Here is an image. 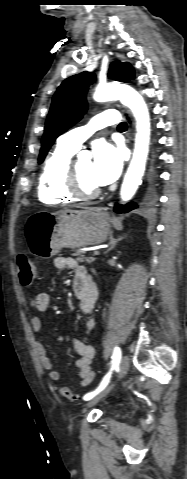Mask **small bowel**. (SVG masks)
I'll return each instance as SVG.
<instances>
[{
  "mask_svg": "<svg viewBox=\"0 0 187 479\" xmlns=\"http://www.w3.org/2000/svg\"><path fill=\"white\" fill-rule=\"evenodd\" d=\"M55 266L60 270L71 269L75 271L73 290L80 301L79 311L81 316L85 318V328L87 331H90L95 325L93 311L98 298V291L95 282L89 274L86 266L78 263L74 258L59 257L55 260ZM49 305L50 295L46 292L38 293L31 300V306L37 312V314L31 318V328L35 335H38L41 331L42 319L44 313L49 308ZM33 346L39 362L43 369L46 370L49 379L53 382H58L60 379L59 372L47 357L46 349L41 340L36 337ZM72 349L80 356L76 361V366L79 369V385L81 387H87L95 378V372L91 367V363L96 354L95 347L90 342H84L77 338H73Z\"/></svg>",
  "mask_w": 187,
  "mask_h": 479,
  "instance_id": "small-bowel-1",
  "label": "small bowel"
}]
</instances>
